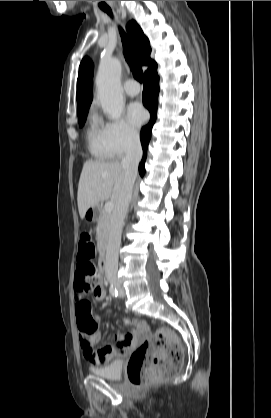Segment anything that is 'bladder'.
<instances>
[{
    "label": "bladder",
    "mask_w": 271,
    "mask_h": 418,
    "mask_svg": "<svg viewBox=\"0 0 271 418\" xmlns=\"http://www.w3.org/2000/svg\"><path fill=\"white\" fill-rule=\"evenodd\" d=\"M123 362L113 360L102 367L92 368V373L107 380H118L122 375Z\"/></svg>",
    "instance_id": "31cf9c89"
}]
</instances>
